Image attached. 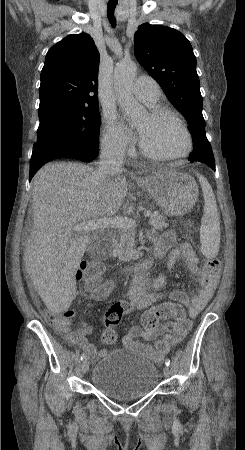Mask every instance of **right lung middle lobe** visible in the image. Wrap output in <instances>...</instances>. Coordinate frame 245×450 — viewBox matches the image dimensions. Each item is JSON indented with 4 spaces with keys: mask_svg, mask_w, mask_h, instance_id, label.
I'll list each match as a JSON object with an SVG mask.
<instances>
[{
    "mask_svg": "<svg viewBox=\"0 0 245 450\" xmlns=\"http://www.w3.org/2000/svg\"><path fill=\"white\" fill-rule=\"evenodd\" d=\"M37 145L31 160L46 153L98 149V105L92 107L57 103L39 109Z\"/></svg>",
    "mask_w": 245,
    "mask_h": 450,
    "instance_id": "1",
    "label": "right lung middle lobe"
}]
</instances>
